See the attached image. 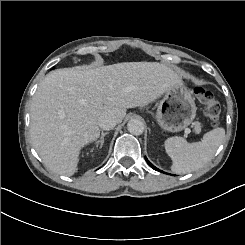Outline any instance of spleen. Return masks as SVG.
Masks as SVG:
<instances>
[{
	"label": "spleen",
	"mask_w": 245,
	"mask_h": 245,
	"mask_svg": "<svg viewBox=\"0 0 245 245\" xmlns=\"http://www.w3.org/2000/svg\"><path fill=\"white\" fill-rule=\"evenodd\" d=\"M224 137V130L216 129L207 132L201 141L191 144L180 136L168 138L165 145L175 163L173 171L186 174L204 167L215 156Z\"/></svg>",
	"instance_id": "obj_1"
}]
</instances>
